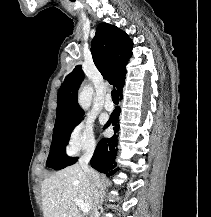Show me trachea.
<instances>
[{"mask_svg":"<svg viewBox=\"0 0 211 217\" xmlns=\"http://www.w3.org/2000/svg\"><path fill=\"white\" fill-rule=\"evenodd\" d=\"M111 96H112V100H113L114 102H118V101H119V95H118V92H117L116 89H113V90L111 91Z\"/></svg>","mask_w":211,"mask_h":217,"instance_id":"1","label":"trachea"}]
</instances>
